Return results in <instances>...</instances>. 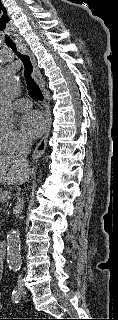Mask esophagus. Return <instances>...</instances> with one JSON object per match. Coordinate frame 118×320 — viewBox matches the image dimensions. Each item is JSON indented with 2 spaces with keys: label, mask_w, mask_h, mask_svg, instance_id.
Wrapping results in <instances>:
<instances>
[{
  "label": "esophagus",
  "mask_w": 118,
  "mask_h": 320,
  "mask_svg": "<svg viewBox=\"0 0 118 320\" xmlns=\"http://www.w3.org/2000/svg\"><path fill=\"white\" fill-rule=\"evenodd\" d=\"M25 52L29 56V58L32 62L33 76H34L35 80L37 81L39 86L43 90H45V82H44V79L42 78V75H41L40 69L37 65V61H36L35 56L28 49H25ZM45 121H46L45 134L42 137V139L40 140V142L37 144V146L35 147V149L32 153V161L33 162H36L43 155V153L45 152V149L47 147V141H48V137H49L50 129H51V114L49 113L48 109L46 110Z\"/></svg>",
  "instance_id": "1"
}]
</instances>
